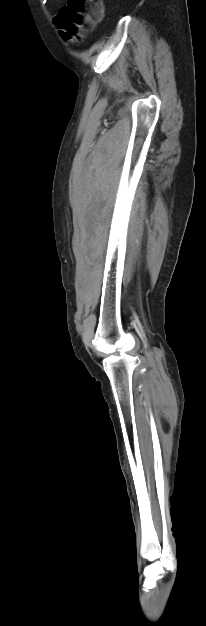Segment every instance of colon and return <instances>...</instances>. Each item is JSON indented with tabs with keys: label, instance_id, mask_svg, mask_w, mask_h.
I'll return each instance as SVG.
<instances>
[{
	"label": "colon",
	"instance_id": "1",
	"mask_svg": "<svg viewBox=\"0 0 206 626\" xmlns=\"http://www.w3.org/2000/svg\"><path fill=\"white\" fill-rule=\"evenodd\" d=\"M100 0H67L55 16V23L67 40H79L86 30L92 29L102 18Z\"/></svg>",
	"mask_w": 206,
	"mask_h": 626
}]
</instances>
